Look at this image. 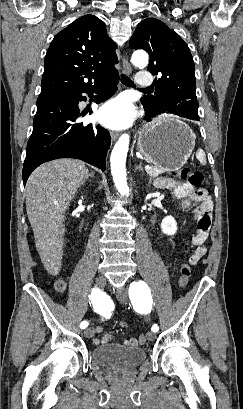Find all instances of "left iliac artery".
Wrapping results in <instances>:
<instances>
[{
    "label": "left iliac artery",
    "instance_id": "obj_1",
    "mask_svg": "<svg viewBox=\"0 0 243 409\" xmlns=\"http://www.w3.org/2000/svg\"><path fill=\"white\" fill-rule=\"evenodd\" d=\"M148 292L149 288L145 282L139 281L132 283L129 289V296L132 304L136 307L137 302L143 300L144 297L148 299ZM151 329L153 332H157L159 327L154 324Z\"/></svg>",
    "mask_w": 243,
    "mask_h": 409
}]
</instances>
